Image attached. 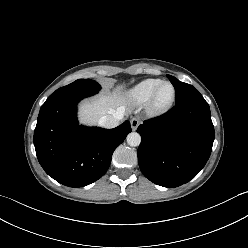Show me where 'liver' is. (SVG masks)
<instances>
[{
  "label": "liver",
  "mask_w": 248,
  "mask_h": 248,
  "mask_svg": "<svg viewBox=\"0 0 248 248\" xmlns=\"http://www.w3.org/2000/svg\"><path fill=\"white\" fill-rule=\"evenodd\" d=\"M124 85H120L112 93L101 94L97 98L81 103L79 107V118L82 123L94 124L105 115H112L115 111L125 112L121 90Z\"/></svg>",
  "instance_id": "liver-1"
}]
</instances>
